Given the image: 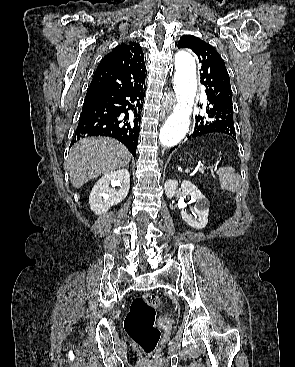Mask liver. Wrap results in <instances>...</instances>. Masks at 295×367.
Segmentation results:
<instances>
[{
  "mask_svg": "<svg viewBox=\"0 0 295 367\" xmlns=\"http://www.w3.org/2000/svg\"><path fill=\"white\" fill-rule=\"evenodd\" d=\"M130 159L128 149L112 138H83L72 146L67 160L72 186L79 189L97 176L126 166Z\"/></svg>",
  "mask_w": 295,
  "mask_h": 367,
  "instance_id": "obj_1",
  "label": "liver"
}]
</instances>
